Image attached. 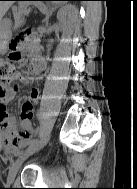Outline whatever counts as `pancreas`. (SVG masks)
Instances as JSON below:
<instances>
[{
    "label": "pancreas",
    "mask_w": 137,
    "mask_h": 189,
    "mask_svg": "<svg viewBox=\"0 0 137 189\" xmlns=\"http://www.w3.org/2000/svg\"><path fill=\"white\" fill-rule=\"evenodd\" d=\"M15 25H20L24 20V15L26 14V8L23 7H13Z\"/></svg>",
    "instance_id": "obj_1"
}]
</instances>
